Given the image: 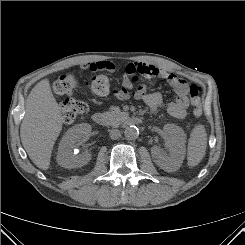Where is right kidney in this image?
Instances as JSON below:
<instances>
[{
  "label": "right kidney",
  "mask_w": 245,
  "mask_h": 245,
  "mask_svg": "<svg viewBox=\"0 0 245 245\" xmlns=\"http://www.w3.org/2000/svg\"><path fill=\"white\" fill-rule=\"evenodd\" d=\"M90 133L91 125L87 123L75 125L65 133L58 148L57 161L60 166L78 168L86 165L91 160V154L88 152L74 153L76 144Z\"/></svg>",
  "instance_id": "ca27d5eb"
}]
</instances>
